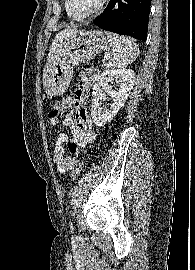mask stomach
<instances>
[{
    "instance_id": "obj_1",
    "label": "stomach",
    "mask_w": 195,
    "mask_h": 270,
    "mask_svg": "<svg viewBox=\"0 0 195 270\" xmlns=\"http://www.w3.org/2000/svg\"><path fill=\"white\" fill-rule=\"evenodd\" d=\"M108 39L100 30L76 31L58 41L54 58L44 69V88L50 96L63 94L71 81L74 68L90 61L106 49Z\"/></svg>"
}]
</instances>
